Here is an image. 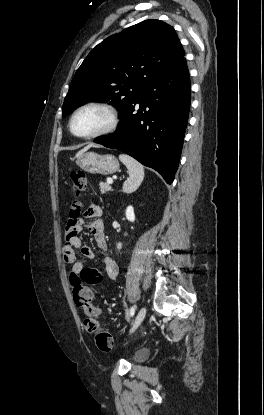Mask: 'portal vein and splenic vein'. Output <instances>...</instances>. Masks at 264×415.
<instances>
[{
  "instance_id": "portal-vein-and-splenic-vein-1",
  "label": "portal vein and splenic vein",
  "mask_w": 264,
  "mask_h": 415,
  "mask_svg": "<svg viewBox=\"0 0 264 415\" xmlns=\"http://www.w3.org/2000/svg\"><path fill=\"white\" fill-rule=\"evenodd\" d=\"M107 183H108V184H112V183H113V180H112V179H108V180H107Z\"/></svg>"
}]
</instances>
